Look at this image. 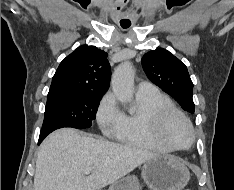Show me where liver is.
Listing matches in <instances>:
<instances>
[{"label": "liver", "instance_id": "1", "mask_svg": "<svg viewBox=\"0 0 234 190\" xmlns=\"http://www.w3.org/2000/svg\"><path fill=\"white\" fill-rule=\"evenodd\" d=\"M158 154L59 129L41 144L33 190H101ZM92 168L85 176L84 170Z\"/></svg>", "mask_w": 234, "mask_h": 190}]
</instances>
